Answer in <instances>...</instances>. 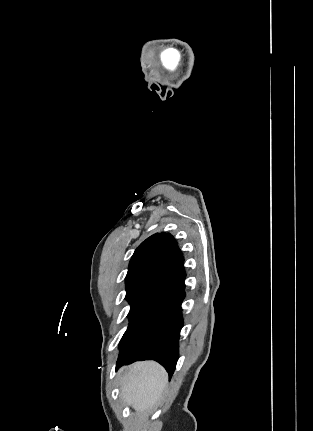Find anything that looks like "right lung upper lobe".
Listing matches in <instances>:
<instances>
[{
  "label": "right lung upper lobe",
  "instance_id": "1",
  "mask_svg": "<svg viewBox=\"0 0 313 431\" xmlns=\"http://www.w3.org/2000/svg\"><path fill=\"white\" fill-rule=\"evenodd\" d=\"M183 256L172 235L156 233L135 250L125 278L126 297L151 296L183 267Z\"/></svg>",
  "mask_w": 313,
  "mask_h": 431
}]
</instances>
